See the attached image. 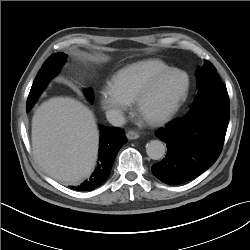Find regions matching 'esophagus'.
<instances>
[{
    "label": "esophagus",
    "mask_w": 250,
    "mask_h": 250,
    "mask_svg": "<svg viewBox=\"0 0 250 250\" xmlns=\"http://www.w3.org/2000/svg\"><path fill=\"white\" fill-rule=\"evenodd\" d=\"M139 133L133 130H130L126 133V137L130 140H135L137 138H139Z\"/></svg>",
    "instance_id": "esophagus-1"
}]
</instances>
